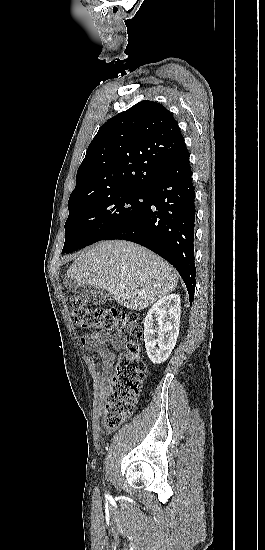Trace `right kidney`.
I'll use <instances>...</instances> for the list:
<instances>
[{"label": "right kidney", "instance_id": "1", "mask_svg": "<svg viewBox=\"0 0 265 550\" xmlns=\"http://www.w3.org/2000/svg\"><path fill=\"white\" fill-rule=\"evenodd\" d=\"M180 296L171 294L160 298L144 319V341L149 359L161 364L171 354L179 334ZM155 321L158 324V339H155Z\"/></svg>", "mask_w": 265, "mask_h": 550}]
</instances>
